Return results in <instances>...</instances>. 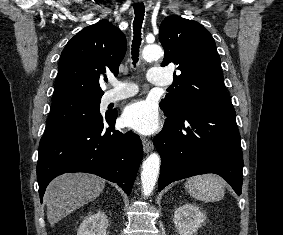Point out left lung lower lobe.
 <instances>
[{
  "instance_id": "left-lung-lower-lobe-1",
  "label": "left lung lower lobe",
  "mask_w": 283,
  "mask_h": 235,
  "mask_svg": "<svg viewBox=\"0 0 283 235\" xmlns=\"http://www.w3.org/2000/svg\"><path fill=\"white\" fill-rule=\"evenodd\" d=\"M154 145L162 158L159 191L180 179L215 173L241 194L243 154L233 107L168 117Z\"/></svg>"
}]
</instances>
